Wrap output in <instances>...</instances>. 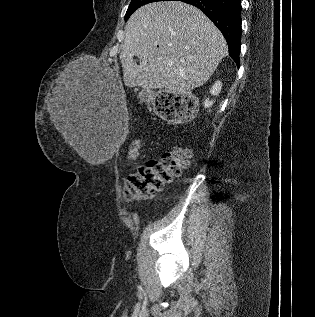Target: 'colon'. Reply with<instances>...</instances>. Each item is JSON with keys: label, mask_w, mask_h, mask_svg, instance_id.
Returning a JSON list of instances; mask_svg holds the SVG:
<instances>
[{"label": "colon", "mask_w": 315, "mask_h": 317, "mask_svg": "<svg viewBox=\"0 0 315 317\" xmlns=\"http://www.w3.org/2000/svg\"><path fill=\"white\" fill-rule=\"evenodd\" d=\"M157 115L166 121H187L196 112V102L190 95L161 91L154 96ZM140 141H134L129 148V157L140 156ZM192 156L190 149L177 146L165 153L160 160H150L128 175L125 193L128 200H137L154 196L166 183L179 176L188 165Z\"/></svg>", "instance_id": "colon-1"}]
</instances>
